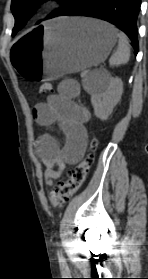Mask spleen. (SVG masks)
<instances>
[{
  "label": "spleen",
  "mask_w": 148,
  "mask_h": 279,
  "mask_svg": "<svg viewBox=\"0 0 148 279\" xmlns=\"http://www.w3.org/2000/svg\"><path fill=\"white\" fill-rule=\"evenodd\" d=\"M117 36L119 38L118 47L109 60L111 66L126 64L130 58V45L126 35L120 32ZM100 75L101 73L99 71H93L90 73L86 79L83 80L84 88L87 91L92 92L96 87L97 79Z\"/></svg>",
  "instance_id": "spleen-1"
}]
</instances>
